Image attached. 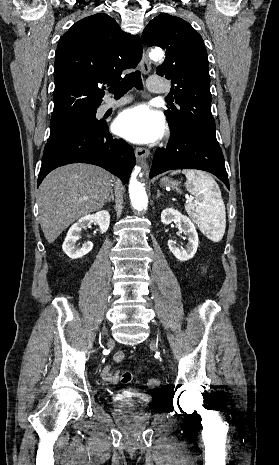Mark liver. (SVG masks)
Instances as JSON below:
<instances>
[{
	"mask_svg": "<svg viewBox=\"0 0 279 465\" xmlns=\"http://www.w3.org/2000/svg\"><path fill=\"white\" fill-rule=\"evenodd\" d=\"M111 185V174L90 164L73 163L50 172L38 191L39 221L48 243L78 218L100 210Z\"/></svg>",
	"mask_w": 279,
	"mask_h": 465,
	"instance_id": "1",
	"label": "liver"
}]
</instances>
